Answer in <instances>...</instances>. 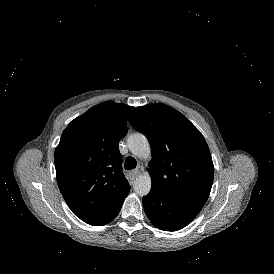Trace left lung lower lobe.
Wrapping results in <instances>:
<instances>
[{
	"label": "left lung lower lobe",
	"mask_w": 274,
	"mask_h": 274,
	"mask_svg": "<svg viewBox=\"0 0 274 274\" xmlns=\"http://www.w3.org/2000/svg\"><path fill=\"white\" fill-rule=\"evenodd\" d=\"M142 202L151 223L165 231L182 229L196 217L203 207L179 200L155 188L143 197Z\"/></svg>",
	"instance_id": "obj_1"
}]
</instances>
